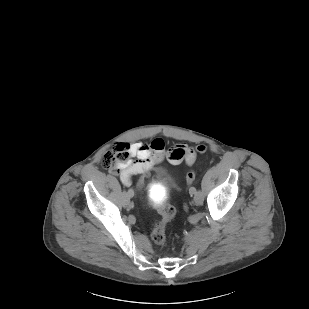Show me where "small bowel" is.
<instances>
[{"label": "small bowel", "mask_w": 309, "mask_h": 309, "mask_svg": "<svg viewBox=\"0 0 309 309\" xmlns=\"http://www.w3.org/2000/svg\"><path fill=\"white\" fill-rule=\"evenodd\" d=\"M132 160L125 163L118 172L125 185L131 183L134 175L149 173L156 165L166 158L170 163L191 165L196 160V151L193 147L180 143L166 154L165 142L161 138H155L151 142L136 141L131 144Z\"/></svg>", "instance_id": "1"}]
</instances>
